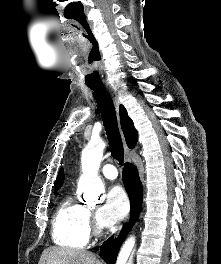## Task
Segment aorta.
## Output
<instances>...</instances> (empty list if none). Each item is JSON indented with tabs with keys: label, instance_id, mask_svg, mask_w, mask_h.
I'll list each match as a JSON object with an SVG mask.
<instances>
[{
	"label": "aorta",
	"instance_id": "762f6f07",
	"mask_svg": "<svg viewBox=\"0 0 221 264\" xmlns=\"http://www.w3.org/2000/svg\"><path fill=\"white\" fill-rule=\"evenodd\" d=\"M104 149L105 143L101 141L98 144L89 143L82 151V175L79 179L78 188L83 193V198L87 203H95L100 194L104 192L103 183L98 176ZM134 251L135 239L131 237L121 248L116 264H132Z\"/></svg>",
	"mask_w": 221,
	"mask_h": 264
}]
</instances>
